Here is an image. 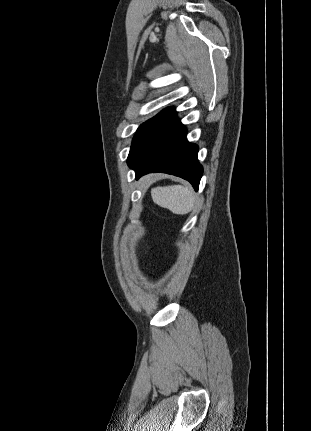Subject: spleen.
<instances>
[{
    "label": "spleen",
    "instance_id": "1",
    "mask_svg": "<svg viewBox=\"0 0 311 431\" xmlns=\"http://www.w3.org/2000/svg\"><path fill=\"white\" fill-rule=\"evenodd\" d=\"M153 202L168 208L173 214H189L195 206V194L190 186H165V188H152Z\"/></svg>",
    "mask_w": 311,
    "mask_h": 431
}]
</instances>
